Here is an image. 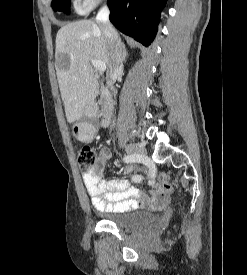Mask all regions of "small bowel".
<instances>
[{
	"instance_id": "obj_1",
	"label": "small bowel",
	"mask_w": 247,
	"mask_h": 275,
	"mask_svg": "<svg viewBox=\"0 0 247 275\" xmlns=\"http://www.w3.org/2000/svg\"><path fill=\"white\" fill-rule=\"evenodd\" d=\"M108 148L99 151L97 164L83 174V182L93 206L103 212H125L140 206L161 207L169 201L171 191L160 180L149 181L152 190L147 194L132 186L124 178H107L105 163L110 159ZM132 167H126L123 174H129Z\"/></svg>"
}]
</instances>
